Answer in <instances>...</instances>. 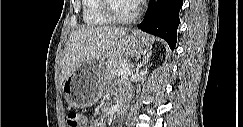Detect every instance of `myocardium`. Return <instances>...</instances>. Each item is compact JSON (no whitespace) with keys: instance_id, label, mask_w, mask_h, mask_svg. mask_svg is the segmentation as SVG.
<instances>
[{"instance_id":"obj_1","label":"myocardium","mask_w":243,"mask_h":127,"mask_svg":"<svg viewBox=\"0 0 243 127\" xmlns=\"http://www.w3.org/2000/svg\"><path fill=\"white\" fill-rule=\"evenodd\" d=\"M113 1L114 0H102L103 12L110 19L111 22L128 23L135 20L140 13V7L138 6V4L133 3V11L129 15H118L113 9Z\"/></svg>"}]
</instances>
